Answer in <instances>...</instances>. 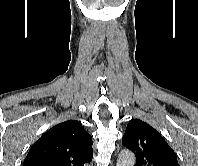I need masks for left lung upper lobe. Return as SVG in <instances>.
<instances>
[{
    "instance_id": "left-lung-upper-lobe-1",
    "label": "left lung upper lobe",
    "mask_w": 198,
    "mask_h": 166,
    "mask_svg": "<svg viewBox=\"0 0 198 166\" xmlns=\"http://www.w3.org/2000/svg\"><path fill=\"white\" fill-rule=\"evenodd\" d=\"M122 144L134 152L136 166H179L175 152L164 138L139 119L128 123Z\"/></svg>"
}]
</instances>
